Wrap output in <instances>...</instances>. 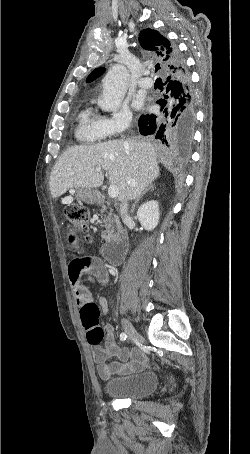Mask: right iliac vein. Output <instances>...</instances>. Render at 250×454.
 Returning a JSON list of instances; mask_svg holds the SVG:
<instances>
[{
	"label": "right iliac vein",
	"instance_id": "63e3f726",
	"mask_svg": "<svg viewBox=\"0 0 250 454\" xmlns=\"http://www.w3.org/2000/svg\"><path fill=\"white\" fill-rule=\"evenodd\" d=\"M121 323L123 325V328H124L129 340L138 338V335H137L135 329L133 328V326L131 325L130 321L127 318L122 317Z\"/></svg>",
	"mask_w": 250,
	"mask_h": 454
}]
</instances>
